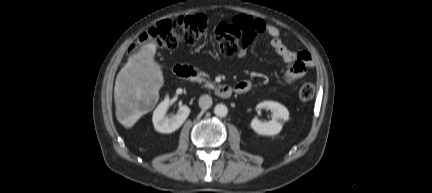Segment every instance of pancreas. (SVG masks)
<instances>
[{"label": "pancreas", "mask_w": 432, "mask_h": 193, "mask_svg": "<svg viewBox=\"0 0 432 193\" xmlns=\"http://www.w3.org/2000/svg\"><path fill=\"white\" fill-rule=\"evenodd\" d=\"M201 76L206 77V78L209 77V75L206 74V73H204V72L201 73ZM201 80H202V81H205L206 79H205V78H202ZM205 86H206L207 88H209V89H214V88H215V83H212L210 80H208V81H206Z\"/></svg>", "instance_id": "cf45deb5"}]
</instances>
